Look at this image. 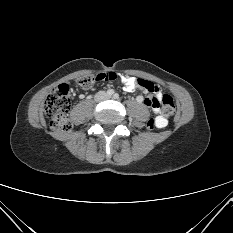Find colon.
Returning <instances> with one entry per match:
<instances>
[{
    "label": "colon",
    "mask_w": 233,
    "mask_h": 233,
    "mask_svg": "<svg viewBox=\"0 0 233 233\" xmlns=\"http://www.w3.org/2000/svg\"><path fill=\"white\" fill-rule=\"evenodd\" d=\"M96 81L97 80L93 75H84L77 79L78 85L85 90L91 89ZM138 84L142 89H145L149 93H155L158 90V87L148 80L139 78ZM71 101L72 92L67 84L59 85L48 95L45 101L44 111L45 114L51 118L50 126L53 130L66 132L72 128V123L66 117V112L70 108ZM151 104L153 106L161 104L162 111L165 115H172L176 110L174 99L170 95H163L159 103L157 99L153 97L151 99ZM155 127V119H150L147 122V128L153 129Z\"/></svg>",
    "instance_id": "5ec220e1"
}]
</instances>
